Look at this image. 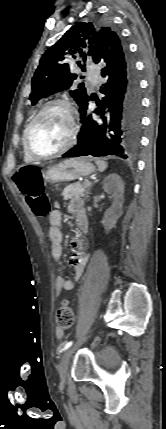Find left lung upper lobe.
Here are the masks:
<instances>
[{"label":"left lung upper lobe","instance_id":"left-lung-upper-lobe-1","mask_svg":"<svg viewBox=\"0 0 166 429\" xmlns=\"http://www.w3.org/2000/svg\"><path fill=\"white\" fill-rule=\"evenodd\" d=\"M119 35L110 27H99L92 23L80 22L68 30L62 38L51 46L41 57L31 82L29 99L32 105L55 92L68 89L77 75L70 68L79 59L91 57L95 62L101 43L113 42ZM81 107L88 99L83 86L69 92Z\"/></svg>","mask_w":166,"mask_h":429}]
</instances>
